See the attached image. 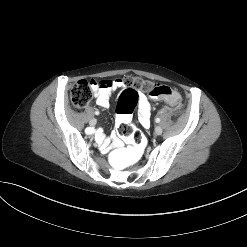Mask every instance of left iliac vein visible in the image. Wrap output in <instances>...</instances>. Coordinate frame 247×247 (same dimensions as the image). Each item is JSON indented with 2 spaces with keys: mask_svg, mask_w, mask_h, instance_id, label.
Here are the masks:
<instances>
[{
  "mask_svg": "<svg viewBox=\"0 0 247 247\" xmlns=\"http://www.w3.org/2000/svg\"><path fill=\"white\" fill-rule=\"evenodd\" d=\"M162 128L160 127V126H156L155 127V133L157 134V135H161L162 134Z\"/></svg>",
  "mask_w": 247,
  "mask_h": 247,
  "instance_id": "4c4485c4",
  "label": "left iliac vein"
}]
</instances>
